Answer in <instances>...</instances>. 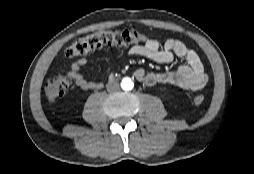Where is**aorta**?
<instances>
[{
  "mask_svg": "<svg viewBox=\"0 0 254 174\" xmlns=\"http://www.w3.org/2000/svg\"><path fill=\"white\" fill-rule=\"evenodd\" d=\"M134 86V83L130 78H124L121 82V88L123 90H131Z\"/></svg>",
  "mask_w": 254,
  "mask_h": 174,
  "instance_id": "762f6f07",
  "label": "aorta"
}]
</instances>
